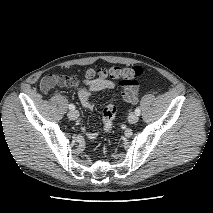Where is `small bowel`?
I'll return each mask as SVG.
<instances>
[{
  "instance_id": "c3829d8e",
  "label": "small bowel",
  "mask_w": 213,
  "mask_h": 213,
  "mask_svg": "<svg viewBox=\"0 0 213 213\" xmlns=\"http://www.w3.org/2000/svg\"><path fill=\"white\" fill-rule=\"evenodd\" d=\"M56 85L60 86H74L77 91L79 98L82 102V105L85 109H91L93 107V103L90 100V96L99 91L103 90H112L116 87V84L105 78H85L81 81H76L73 79L70 83H62L57 80V75H48L44 77L41 81V89L43 92L48 93L51 89H53ZM124 100L128 103H135L138 98V89L137 87L132 89V96L129 98L123 97ZM87 137L90 140H94L97 138V132H87Z\"/></svg>"
}]
</instances>
